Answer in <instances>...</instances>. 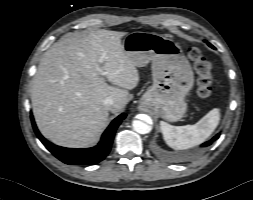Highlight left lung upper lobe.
<instances>
[{
    "mask_svg": "<svg viewBox=\"0 0 253 200\" xmlns=\"http://www.w3.org/2000/svg\"><path fill=\"white\" fill-rule=\"evenodd\" d=\"M206 42V41H205ZM208 45L211 47V48H214L213 45H211L210 43H208Z\"/></svg>",
    "mask_w": 253,
    "mask_h": 200,
    "instance_id": "5c2ea615",
    "label": "left lung upper lobe"
}]
</instances>
